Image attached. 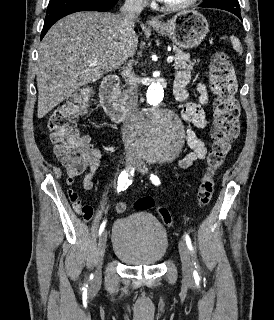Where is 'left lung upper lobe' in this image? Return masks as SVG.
Here are the masks:
<instances>
[{
    "label": "left lung upper lobe",
    "mask_w": 274,
    "mask_h": 320,
    "mask_svg": "<svg viewBox=\"0 0 274 320\" xmlns=\"http://www.w3.org/2000/svg\"><path fill=\"white\" fill-rule=\"evenodd\" d=\"M201 6L225 9L229 12H240L238 0H205Z\"/></svg>",
    "instance_id": "left-lung-upper-lobe-1"
}]
</instances>
